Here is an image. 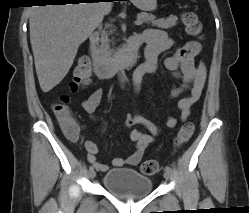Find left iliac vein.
I'll return each mask as SVG.
<instances>
[{
	"label": "left iliac vein",
	"mask_w": 249,
	"mask_h": 213,
	"mask_svg": "<svg viewBox=\"0 0 249 213\" xmlns=\"http://www.w3.org/2000/svg\"><path fill=\"white\" fill-rule=\"evenodd\" d=\"M164 178H165L166 180H169V179H170V173L167 172V171H165V172H164Z\"/></svg>",
	"instance_id": "left-iliac-vein-1"
}]
</instances>
